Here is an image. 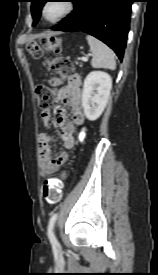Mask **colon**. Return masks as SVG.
<instances>
[{"label":"colon","instance_id":"5ec220e1","mask_svg":"<svg viewBox=\"0 0 158 275\" xmlns=\"http://www.w3.org/2000/svg\"><path fill=\"white\" fill-rule=\"evenodd\" d=\"M27 52L34 58H41L44 52L59 53L60 39L54 35L42 36L27 43ZM48 71L55 75H68L73 71L72 62L66 57H55L45 60ZM58 91L49 87L38 88L39 106L43 111H49L54 104ZM64 187L63 178H46L41 186L43 198L51 204L60 201Z\"/></svg>","mask_w":158,"mask_h":275}]
</instances>
